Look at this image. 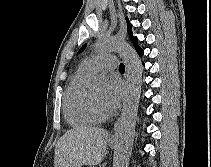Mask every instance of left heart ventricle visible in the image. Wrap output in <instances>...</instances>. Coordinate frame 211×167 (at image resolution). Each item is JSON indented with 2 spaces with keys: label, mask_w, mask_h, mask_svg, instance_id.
<instances>
[{
  "label": "left heart ventricle",
  "mask_w": 211,
  "mask_h": 167,
  "mask_svg": "<svg viewBox=\"0 0 211 167\" xmlns=\"http://www.w3.org/2000/svg\"><path fill=\"white\" fill-rule=\"evenodd\" d=\"M97 110L102 114H108L103 105V88H96L90 91Z\"/></svg>",
  "instance_id": "b2bd125f"
}]
</instances>
